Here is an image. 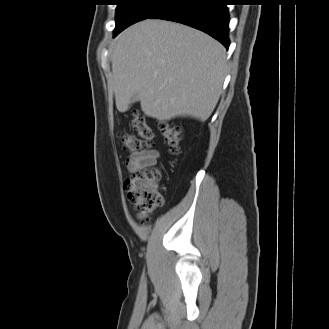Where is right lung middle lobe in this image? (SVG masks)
I'll return each mask as SVG.
<instances>
[{
	"instance_id": "dd1d6c3e",
	"label": "right lung middle lobe",
	"mask_w": 329,
	"mask_h": 329,
	"mask_svg": "<svg viewBox=\"0 0 329 329\" xmlns=\"http://www.w3.org/2000/svg\"><path fill=\"white\" fill-rule=\"evenodd\" d=\"M118 2L116 8V26L114 36L126 27L150 18L163 6L174 0H115Z\"/></svg>"
}]
</instances>
